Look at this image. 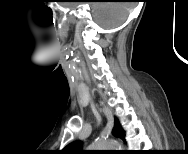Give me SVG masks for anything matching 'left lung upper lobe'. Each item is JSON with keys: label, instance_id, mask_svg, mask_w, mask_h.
I'll use <instances>...</instances> for the list:
<instances>
[{"label": "left lung upper lobe", "instance_id": "obj_1", "mask_svg": "<svg viewBox=\"0 0 188 154\" xmlns=\"http://www.w3.org/2000/svg\"><path fill=\"white\" fill-rule=\"evenodd\" d=\"M112 134L116 137H120L124 139V131L118 121L117 118H115V128L112 131ZM64 150L69 154H83L85 151L82 150V142L75 141L69 145H67Z\"/></svg>", "mask_w": 188, "mask_h": 154}]
</instances>
